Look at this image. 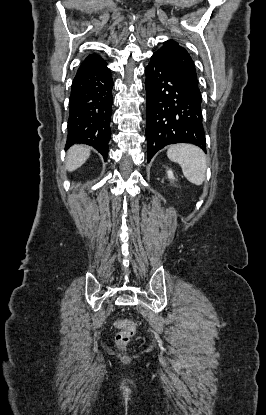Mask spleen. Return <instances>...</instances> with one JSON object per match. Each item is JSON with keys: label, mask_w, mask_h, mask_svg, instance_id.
Listing matches in <instances>:
<instances>
[{"label": "spleen", "mask_w": 266, "mask_h": 415, "mask_svg": "<svg viewBox=\"0 0 266 415\" xmlns=\"http://www.w3.org/2000/svg\"><path fill=\"white\" fill-rule=\"evenodd\" d=\"M168 158L181 166L185 178L195 185H201L206 177L207 161L204 152L190 144H177L167 151Z\"/></svg>", "instance_id": "spleen-1"}]
</instances>
